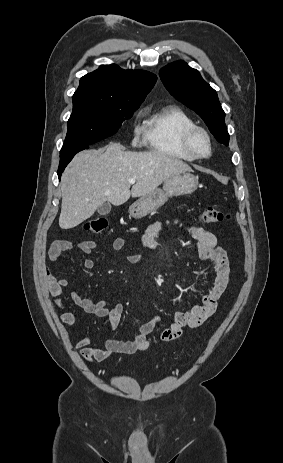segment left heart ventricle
Listing matches in <instances>:
<instances>
[{"label":"left heart ventricle","mask_w":283,"mask_h":463,"mask_svg":"<svg viewBox=\"0 0 283 463\" xmlns=\"http://www.w3.org/2000/svg\"><path fill=\"white\" fill-rule=\"evenodd\" d=\"M196 147L201 153H206L208 151V145L203 136H198L196 138Z\"/></svg>","instance_id":"1"}]
</instances>
